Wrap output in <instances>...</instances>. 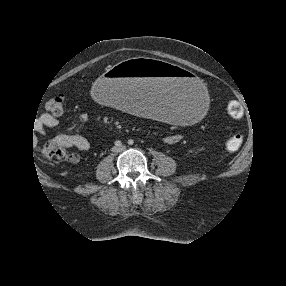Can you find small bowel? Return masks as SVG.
Returning <instances> with one entry per match:
<instances>
[{"label":"small bowel","instance_id":"obj_1","mask_svg":"<svg viewBox=\"0 0 286 286\" xmlns=\"http://www.w3.org/2000/svg\"><path fill=\"white\" fill-rule=\"evenodd\" d=\"M82 119H86L85 116H82ZM58 123V120L50 115V114H44L40 119V124L37 127V132L40 134L45 133L46 128H51L56 126ZM180 140V136L177 134H170L165 137L164 142L168 145L176 144ZM56 141L60 143L62 146L65 147H73L77 148L81 151H87L90 148L89 141L80 135H59L56 137ZM77 159V156L72 155L70 157V160L74 161Z\"/></svg>","mask_w":286,"mask_h":286}]
</instances>
